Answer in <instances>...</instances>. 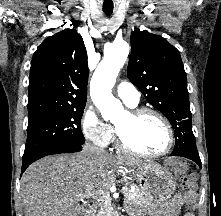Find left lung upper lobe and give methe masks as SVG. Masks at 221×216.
<instances>
[{
	"label": "left lung upper lobe",
	"mask_w": 221,
	"mask_h": 216,
	"mask_svg": "<svg viewBox=\"0 0 221 216\" xmlns=\"http://www.w3.org/2000/svg\"><path fill=\"white\" fill-rule=\"evenodd\" d=\"M127 67L130 81L164 114L175 130V145L197 152L192 132L189 93L179 51L159 35L135 29Z\"/></svg>",
	"instance_id": "obj_1"
}]
</instances>
